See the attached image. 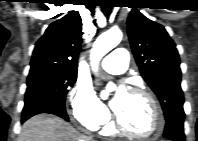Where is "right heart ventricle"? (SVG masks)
I'll list each match as a JSON object with an SVG mask.
<instances>
[{"label":"right heart ventricle","mask_w":198,"mask_h":141,"mask_svg":"<svg viewBox=\"0 0 198 141\" xmlns=\"http://www.w3.org/2000/svg\"><path fill=\"white\" fill-rule=\"evenodd\" d=\"M107 124V123H106ZM105 124V125H106ZM105 134H112L114 133V128L111 124H107L104 128V131H103Z\"/></svg>","instance_id":"e07e8e85"}]
</instances>
